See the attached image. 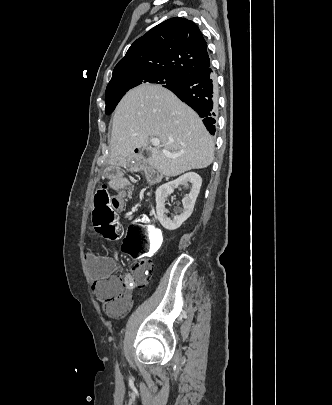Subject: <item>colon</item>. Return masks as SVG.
I'll use <instances>...</instances> for the list:
<instances>
[{"label":"colon","mask_w":332,"mask_h":405,"mask_svg":"<svg viewBox=\"0 0 332 405\" xmlns=\"http://www.w3.org/2000/svg\"><path fill=\"white\" fill-rule=\"evenodd\" d=\"M111 191L107 185L100 187L94 198L93 226L107 240L116 239L120 233L116 211L111 209ZM162 243L161 232L152 221L139 218L129 226L123 248L124 256H155ZM153 271L150 259L141 258L129 276L108 275L96 281L94 291L97 299L106 306L107 312L117 314L128 301V291L133 286H143Z\"/></svg>","instance_id":"1"}]
</instances>
